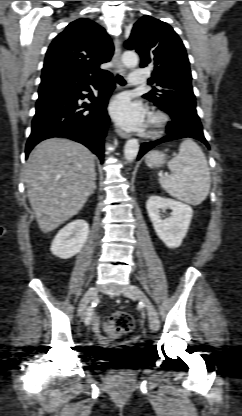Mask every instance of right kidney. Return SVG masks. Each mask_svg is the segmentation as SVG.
Listing matches in <instances>:
<instances>
[{
	"label": "right kidney",
	"mask_w": 242,
	"mask_h": 416,
	"mask_svg": "<svg viewBox=\"0 0 242 416\" xmlns=\"http://www.w3.org/2000/svg\"><path fill=\"white\" fill-rule=\"evenodd\" d=\"M88 234V223L82 219L74 220L57 233L50 250L52 254L62 259L71 258L80 252Z\"/></svg>",
	"instance_id": "right-kidney-1"
}]
</instances>
